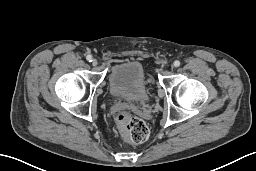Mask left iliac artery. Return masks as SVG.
Masks as SVG:
<instances>
[{"label":"left iliac artery","instance_id":"obj_1","mask_svg":"<svg viewBox=\"0 0 256 171\" xmlns=\"http://www.w3.org/2000/svg\"><path fill=\"white\" fill-rule=\"evenodd\" d=\"M174 65H175L176 67H178V66L180 65V61L176 60V61L174 62Z\"/></svg>","mask_w":256,"mask_h":171}]
</instances>
